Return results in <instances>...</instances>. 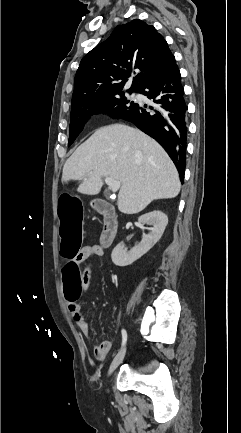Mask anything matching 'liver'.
Here are the masks:
<instances>
[{
  "label": "liver",
  "instance_id": "obj_1",
  "mask_svg": "<svg viewBox=\"0 0 241 433\" xmlns=\"http://www.w3.org/2000/svg\"><path fill=\"white\" fill-rule=\"evenodd\" d=\"M103 177L121 182L118 209L136 214L153 200L176 197L178 171L165 150L142 131L112 124L95 131L67 159L62 182L82 181L77 191L96 195Z\"/></svg>",
  "mask_w": 241,
  "mask_h": 433
}]
</instances>
